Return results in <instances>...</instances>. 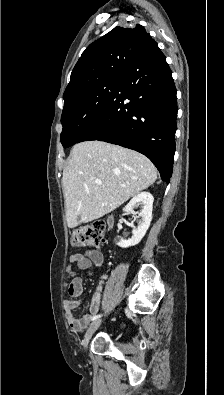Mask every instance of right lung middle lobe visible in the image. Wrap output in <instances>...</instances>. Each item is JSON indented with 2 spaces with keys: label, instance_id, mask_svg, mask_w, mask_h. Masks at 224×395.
Instances as JSON below:
<instances>
[{
  "label": "right lung middle lobe",
  "instance_id": "1",
  "mask_svg": "<svg viewBox=\"0 0 224 395\" xmlns=\"http://www.w3.org/2000/svg\"><path fill=\"white\" fill-rule=\"evenodd\" d=\"M121 76L94 82L64 98L61 143L64 148L79 141L95 117L107 106L117 90Z\"/></svg>",
  "mask_w": 224,
  "mask_h": 395
}]
</instances>
